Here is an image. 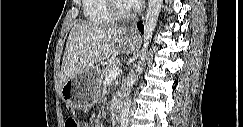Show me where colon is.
<instances>
[{
  "label": "colon",
  "mask_w": 243,
  "mask_h": 127,
  "mask_svg": "<svg viewBox=\"0 0 243 127\" xmlns=\"http://www.w3.org/2000/svg\"><path fill=\"white\" fill-rule=\"evenodd\" d=\"M66 127H82L83 125L79 122V120L75 116H68L65 121Z\"/></svg>",
  "instance_id": "5ec220e1"
}]
</instances>
